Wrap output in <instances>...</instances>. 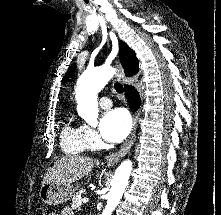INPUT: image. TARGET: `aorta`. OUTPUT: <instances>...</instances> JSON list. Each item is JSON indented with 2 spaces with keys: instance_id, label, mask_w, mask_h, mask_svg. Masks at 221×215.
Returning <instances> with one entry per match:
<instances>
[{
  "instance_id": "1",
  "label": "aorta",
  "mask_w": 221,
  "mask_h": 215,
  "mask_svg": "<svg viewBox=\"0 0 221 215\" xmlns=\"http://www.w3.org/2000/svg\"><path fill=\"white\" fill-rule=\"evenodd\" d=\"M115 74V70L107 65H102L85 72L78 80L75 89L77 112L89 124H96L98 118L97 94L106 86ZM132 162L123 161L116 169L111 180V189L107 196V205L102 215H111L118 205L128 184Z\"/></svg>"
}]
</instances>
